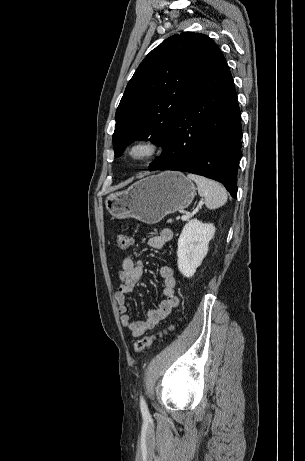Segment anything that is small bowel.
Returning <instances> with one entry per match:
<instances>
[{
  "label": "small bowel",
  "instance_id": "small-bowel-1",
  "mask_svg": "<svg viewBox=\"0 0 305 461\" xmlns=\"http://www.w3.org/2000/svg\"><path fill=\"white\" fill-rule=\"evenodd\" d=\"M172 236V231L169 228H163L148 239V246L153 249H162L172 239ZM143 274L144 266L140 260L129 256L125 257L118 272L121 283L114 293L121 325L127 328L134 337L153 329L167 318L179 304V297L175 293L176 278L174 270L169 263H164L160 266V275L163 280V299L159 307L149 310L144 320L132 321L128 314L126 295L133 291Z\"/></svg>",
  "mask_w": 305,
  "mask_h": 461
}]
</instances>
